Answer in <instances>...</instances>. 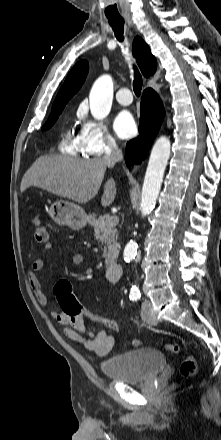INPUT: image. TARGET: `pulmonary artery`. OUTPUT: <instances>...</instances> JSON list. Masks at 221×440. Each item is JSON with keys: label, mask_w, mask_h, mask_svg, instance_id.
<instances>
[{"label": "pulmonary artery", "mask_w": 221, "mask_h": 440, "mask_svg": "<svg viewBox=\"0 0 221 440\" xmlns=\"http://www.w3.org/2000/svg\"><path fill=\"white\" fill-rule=\"evenodd\" d=\"M116 100L123 106L130 105L132 103L133 97L130 90L126 87H123L118 90L116 93Z\"/></svg>", "instance_id": "pulmonary-artery-1"}]
</instances>
